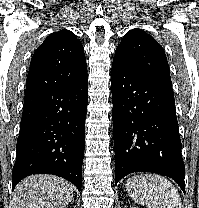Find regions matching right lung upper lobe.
<instances>
[{
  "instance_id": "obj_1",
  "label": "right lung upper lobe",
  "mask_w": 199,
  "mask_h": 208,
  "mask_svg": "<svg viewBox=\"0 0 199 208\" xmlns=\"http://www.w3.org/2000/svg\"><path fill=\"white\" fill-rule=\"evenodd\" d=\"M87 78L84 48L75 34L60 30L34 52L25 96L77 84Z\"/></svg>"
}]
</instances>
